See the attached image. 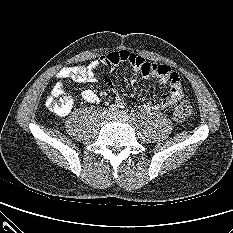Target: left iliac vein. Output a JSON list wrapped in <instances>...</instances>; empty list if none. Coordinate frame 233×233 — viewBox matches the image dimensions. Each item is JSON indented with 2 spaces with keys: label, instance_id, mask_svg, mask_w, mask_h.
Returning a JSON list of instances; mask_svg holds the SVG:
<instances>
[{
  "label": "left iliac vein",
  "instance_id": "4c4485c4",
  "mask_svg": "<svg viewBox=\"0 0 233 233\" xmlns=\"http://www.w3.org/2000/svg\"><path fill=\"white\" fill-rule=\"evenodd\" d=\"M112 118L117 121H123L129 123L131 120L129 119V115L125 111L117 110L112 113Z\"/></svg>",
  "mask_w": 233,
  "mask_h": 233
}]
</instances>
